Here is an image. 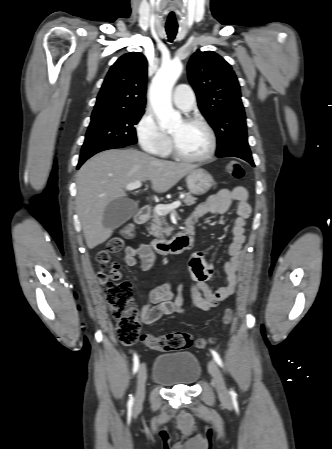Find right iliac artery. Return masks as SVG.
Here are the masks:
<instances>
[{
    "mask_svg": "<svg viewBox=\"0 0 332 449\" xmlns=\"http://www.w3.org/2000/svg\"><path fill=\"white\" fill-rule=\"evenodd\" d=\"M139 368V358L136 354H134L133 357V373L135 374L138 371ZM134 403V398L132 396V394L129 396V400H128V406L132 407Z\"/></svg>",
    "mask_w": 332,
    "mask_h": 449,
    "instance_id": "1",
    "label": "right iliac artery"
}]
</instances>
